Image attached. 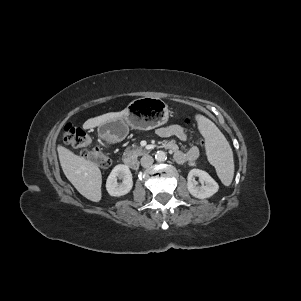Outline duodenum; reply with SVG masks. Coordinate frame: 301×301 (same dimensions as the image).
I'll return each instance as SVG.
<instances>
[{
    "mask_svg": "<svg viewBox=\"0 0 301 301\" xmlns=\"http://www.w3.org/2000/svg\"><path fill=\"white\" fill-rule=\"evenodd\" d=\"M113 141L112 140H105L103 144V151L104 152H111L113 148ZM125 165L131 169H135L137 167V162L133 159H126L125 160Z\"/></svg>",
    "mask_w": 301,
    "mask_h": 301,
    "instance_id": "duodenum-1",
    "label": "duodenum"
}]
</instances>
